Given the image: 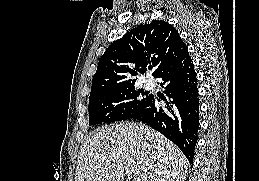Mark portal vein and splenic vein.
<instances>
[{
  "label": "portal vein and splenic vein",
  "instance_id": "portal-vein-and-splenic-vein-1",
  "mask_svg": "<svg viewBox=\"0 0 259 181\" xmlns=\"http://www.w3.org/2000/svg\"><path fill=\"white\" fill-rule=\"evenodd\" d=\"M134 172V170L130 169V168H126V173L131 176L132 173Z\"/></svg>",
  "mask_w": 259,
  "mask_h": 181
}]
</instances>
